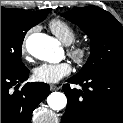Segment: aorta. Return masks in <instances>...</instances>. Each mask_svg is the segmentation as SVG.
I'll return each instance as SVG.
<instances>
[{"label": "aorta", "instance_id": "obj_1", "mask_svg": "<svg viewBox=\"0 0 123 123\" xmlns=\"http://www.w3.org/2000/svg\"><path fill=\"white\" fill-rule=\"evenodd\" d=\"M27 51L37 59L54 62L60 48L57 41L42 33H33L25 42ZM47 103L52 110H62L66 107L67 98L61 92H53L47 98Z\"/></svg>", "mask_w": 123, "mask_h": 123}]
</instances>
